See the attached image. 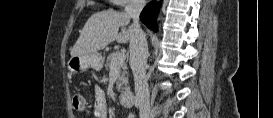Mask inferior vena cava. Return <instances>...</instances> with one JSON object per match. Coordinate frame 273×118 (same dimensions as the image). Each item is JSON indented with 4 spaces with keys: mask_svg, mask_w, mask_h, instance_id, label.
<instances>
[{
    "mask_svg": "<svg viewBox=\"0 0 273 118\" xmlns=\"http://www.w3.org/2000/svg\"><path fill=\"white\" fill-rule=\"evenodd\" d=\"M145 5L144 0H132L125 8L126 13L133 19L130 31V67L135 83V102L139 106L140 117L148 118L150 114V93L146 77L148 45L145 33L139 24V15Z\"/></svg>",
    "mask_w": 273,
    "mask_h": 118,
    "instance_id": "602c4592",
    "label": "inferior vena cava"
}]
</instances>
